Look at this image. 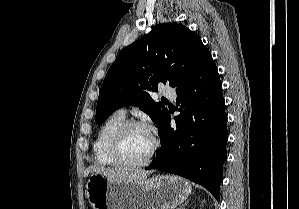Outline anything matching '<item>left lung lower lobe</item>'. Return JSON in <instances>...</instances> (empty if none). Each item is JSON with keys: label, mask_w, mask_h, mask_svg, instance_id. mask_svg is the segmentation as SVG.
<instances>
[{"label": "left lung lower lobe", "mask_w": 299, "mask_h": 209, "mask_svg": "<svg viewBox=\"0 0 299 209\" xmlns=\"http://www.w3.org/2000/svg\"><path fill=\"white\" fill-rule=\"evenodd\" d=\"M176 93V104H181L174 118L176 128H171L168 113L158 131L162 148L147 169L183 176L218 200L228 133L222 84L213 59L178 86Z\"/></svg>", "instance_id": "obj_1"}]
</instances>
